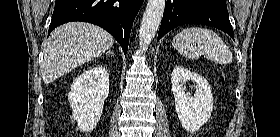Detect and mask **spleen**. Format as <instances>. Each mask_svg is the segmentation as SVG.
Instances as JSON below:
<instances>
[{
  "label": "spleen",
  "mask_w": 280,
  "mask_h": 137,
  "mask_svg": "<svg viewBox=\"0 0 280 137\" xmlns=\"http://www.w3.org/2000/svg\"><path fill=\"white\" fill-rule=\"evenodd\" d=\"M173 47L184 57L198 59L201 55L219 64H230L232 53L221 37L202 27H189L178 33Z\"/></svg>",
  "instance_id": "1"
}]
</instances>
